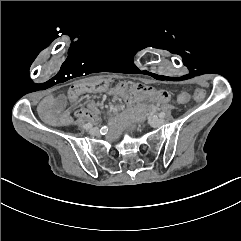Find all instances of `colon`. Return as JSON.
I'll return each mask as SVG.
<instances>
[{"instance_id":"1","label":"colon","mask_w":241,"mask_h":241,"mask_svg":"<svg viewBox=\"0 0 241 241\" xmlns=\"http://www.w3.org/2000/svg\"><path fill=\"white\" fill-rule=\"evenodd\" d=\"M69 97L71 99H79L82 93H107L109 86L105 84L103 79H81L80 84H70ZM196 99H202L205 96L203 89H196L193 93ZM192 99V96L188 92H182L179 95V100L182 103H188Z\"/></svg>"}]
</instances>
